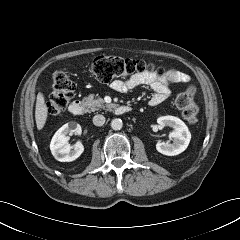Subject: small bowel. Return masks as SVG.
I'll return each mask as SVG.
<instances>
[{
    "mask_svg": "<svg viewBox=\"0 0 240 240\" xmlns=\"http://www.w3.org/2000/svg\"><path fill=\"white\" fill-rule=\"evenodd\" d=\"M170 78L160 76L157 73H142L134 75L127 80H115L110 84V88L114 91L127 93L134 88L146 86L153 91V95L149 100L150 106H157L165 101L171 94L169 82L187 83L190 76L180 70H172Z\"/></svg>",
    "mask_w": 240,
    "mask_h": 240,
    "instance_id": "1",
    "label": "small bowel"
}]
</instances>
